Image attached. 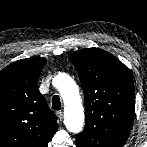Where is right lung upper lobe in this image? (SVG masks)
<instances>
[{
    "label": "right lung upper lobe",
    "instance_id": "1",
    "mask_svg": "<svg viewBox=\"0 0 147 147\" xmlns=\"http://www.w3.org/2000/svg\"><path fill=\"white\" fill-rule=\"evenodd\" d=\"M43 57L18 60L0 71V147H47L56 116L38 90Z\"/></svg>",
    "mask_w": 147,
    "mask_h": 147
}]
</instances>
